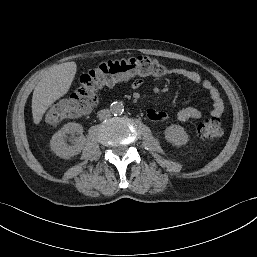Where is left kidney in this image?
Wrapping results in <instances>:
<instances>
[{"mask_svg":"<svg viewBox=\"0 0 257 257\" xmlns=\"http://www.w3.org/2000/svg\"><path fill=\"white\" fill-rule=\"evenodd\" d=\"M165 139L175 146H180L188 142V134L180 125H171L166 128Z\"/></svg>","mask_w":257,"mask_h":257,"instance_id":"5707ae66","label":"left kidney"}]
</instances>
